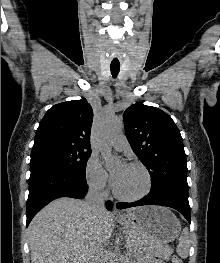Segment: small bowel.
Instances as JSON below:
<instances>
[{"label": "small bowel", "mask_w": 220, "mask_h": 263, "mask_svg": "<svg viewBox=\"0 0 220 263\" xmlns=\"http://www.w3.org/2000/svg\"><path fill=\"white\" fill-rule=\"evenodd\" d=\"M150 263H161V262H159L158 260H153Z\"/></svg>", "instance_id": "obj_1"}]
</instances>
